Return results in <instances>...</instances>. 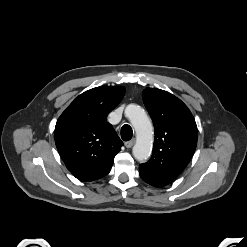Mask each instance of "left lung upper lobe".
Wrapping results in <instances>:
<instances>
[{
    "label": "left lung upper lobe",
    "mask_w": 247,
    "mask_h": 247,
    "mask_svg": "<svg viewBox=\"0 0 247 247\" xmlns=\"http://www.w3.org/2000/svg\"><path fill=\"white\" fill-rule=\"evenodd\" d=\"M142 96L154 124L155 140L152 156L139 165V174L163 187L190 162L197 145V126L190 110L173 94L146 88Z\"/></svg>",
    "instance_id": "left-lung-upper-lobe-1"
}]
</instances>
